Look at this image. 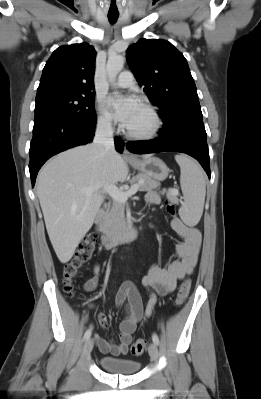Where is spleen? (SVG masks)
Listing matches in <instances>:
<instances>
[{
    "label": "spleen",
    "mask_w": 261,
    "mask_h": 399,
    "mask_svg": "<svg viewBox=\"0 0 261 399\" xmlns=\"http://www.w3.org/2000/svg\"><path fill=\"white\" fill-rule=\"evenodd\" d=\"M175 160L180 166V185L184 196L179 215L186 225L195 226L203 214L206 178L193 159L186 155H176Z\"/></svg>",
    "instance_id": "obj_1"
}]
</instances>
